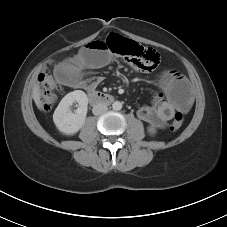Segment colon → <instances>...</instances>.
<instances>
[{"label": "colon", "instance_id": "obj_1", "mask_svg": "<svg viewBox=\"0 0 227 227\" xmlns=\"http://www.w3.org/2000/svg\"><path fill=\"white\" fill-rule=\"evenodd\" d=\"M107 50L124 57L135 65L140 71L149 72L156 69L160 63L159 54L152 49H145L138 43L117 34H110L105 40ZM39 104L44 111H49L56 101V91L59 85L49 70H45L38 76ZM184 122V116L177 112L172 120L170 129L179 130Z\"/></svg>", "mask_w": 227, "mask_h": 227}]
</instances>
